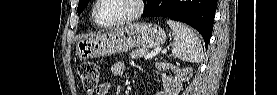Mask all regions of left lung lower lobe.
<instances>
[{"label": "left lung lower lobe", "instance_id": "left-lung-lower-lobe-1", "mask_svg": "<svg viewBox=\"0 0 277 95\" xmlns=\"http://www.w3.org/2000/svg\"><path fill=\"white\" fill-rule=\"evenodd\" d=\"M217 0H151L142 17L162 16L189 24L198 30L208 46Z\"/></svg>", "mask_w": 277, "mask_h": 95}]
</instances>
